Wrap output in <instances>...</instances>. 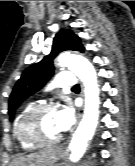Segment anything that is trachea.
I'll return each instance as SVG.
<instances>
[{
	"label": "trachea",
	"mask_w": 135,
	"mask_h": 166,
	"mask_svg": "<svg viewBox=\"0 0 135 166\" xmlns=\"http://www.w3.org/2000/svg\"><path fill=\"white\" fill-rule=\"evenodd\" d=\"M80 87H79V85L77 84V85H75L72 89H79Z\"/></svg>",
	"instance_id": "3493384b"
}]
</instances>
